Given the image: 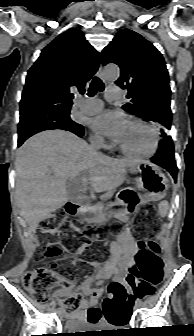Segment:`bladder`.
Segmentation results:
<instances>
[{"label":"bladder","instance_id":"bladder-1","mask_svg":"<svg viewBox=\"0 0 194 336\" xmlns=\"http://www.w3.org/2000/svg\"><path fill=\"white\" fill-rule=\"evenodd\" d=\"M87 326L88 325L85 322H80V321H74V320H72L68 324L67 330H70V331H79V330L86 329Z\"/></svg>","mask_w":194,"mask_h":336}]
</instances>
